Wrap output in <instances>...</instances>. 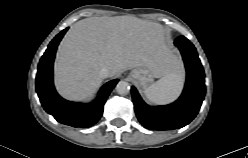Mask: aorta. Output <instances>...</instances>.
Wrapping results in <instances>:
<instances>
[{"label":"aorta","mask_w":248,"mask_h":158,"mask_svg":"<svg viewBox=\"0 0 248 158\" xmlns=\"http://www.w3.org/2000/svg\"><path fill=\"white\" fill-rule=\"evenodd\" d=\"M116 91L120 95H126L130 91L129 83L126 81H119L116 85Z\"/></svg>","instance_id":"aorta-1"}]
</instances>
